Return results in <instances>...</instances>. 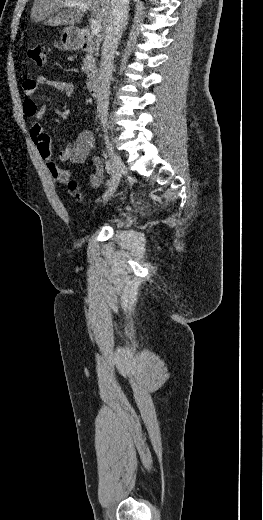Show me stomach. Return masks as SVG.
Masks as SVG:
<instances>
[{
    "mask_svg": "<svg viewBox=\"0 0 263 520\" xmlns=\"http://www.w3.org/2000/svg\"><path fill=\"white\" fill-rule=\"evenodd\" d=\"M60 42L66 50L74 51L82 47L81 30L75 26L65 27L60 33Z\"/></svg>",
    "mask_w": 263,
    "mask_h": 520,
    "instance_id": "stomach-1",
    "label": "stomach"
}]
</instances>
